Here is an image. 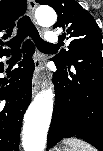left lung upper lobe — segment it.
<instances>
[{
  "label": "left lung upper lobe",
  "instance_id": "1",
  "mask_svg": "<svg viewBox=\"0 0 103 151\" xmlns=\"http://www.w3.org/2000/svg\"><path fill=\"white\" fill-rule=\"evenodd\" d=\"M41 5H50L58 14L53 28H61L60 37L70 40L68 50H61L54 62L66 65L82 51L103 50L102 34L99 26L88 11L75 0H36Z\"/></svg>",
  "mask_w": 103,
  "mask_h": 151
}]
</instances>
